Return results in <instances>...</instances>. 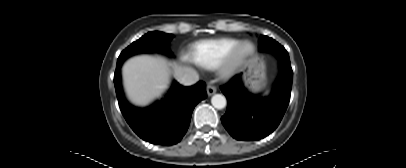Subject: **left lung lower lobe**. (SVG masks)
Wrapping results in <instances>:
<instances>
[{"label":"left lung lower lobe","instance_id":"left-lung-lower-lobe-1","mask_svg":"<svg viewBox=\"0 0 406 168\" xmlns=\"http://www.w3.org/2000/svg\"><path fill=\"white\" fill-rule=\"evenodd\" d=\"M279 60V75L268 97L257 98L250 94L243 86L241 75L221 87L228 101L221 121L233 138L259 140L279 125L289 104L293 76L289 56Z\"/></svg>","mask_w":406,"mask_h":168}]
</instances>
